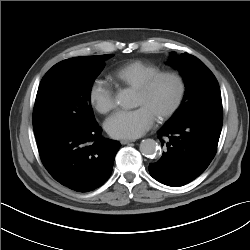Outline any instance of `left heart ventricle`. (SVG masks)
I'll return each mask as SVG.
<instances>
[{
  "mask_svg": "<svg viewBox=\"0 0 250 250\" xmlns=\"http://www.w3.org/2000/svg\"><path fill=\"white\" fill-rule=\"evenodd\" d=\"M176 92L177 85L172 79H161L146 96L136 91L135 106H144L157 118L173 102Z\"/></svg>",
  "mask_w": 250,
  "mask_h": 250,
  "instance_id": "1",
  "label": "left heart ventricle"
}]
</instances>
